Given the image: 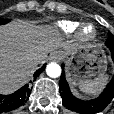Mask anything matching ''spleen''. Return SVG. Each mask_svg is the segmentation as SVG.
<instances>
[{"instance_id": "spleen-1", "label": "spleen", "mask_w": 114, "mask_h": 114, "mask_svg": "<svg viewBox=\"0 0 114 114\" xmlns=\"http://www.w3.org/2000/svg\"><path fill=\"white\" fill-rule=\"evenodd\" d=\"M109 80L107 75L93 81H85L80 85V90L87 95H98Z\"/></svg>"}]
</instances>
